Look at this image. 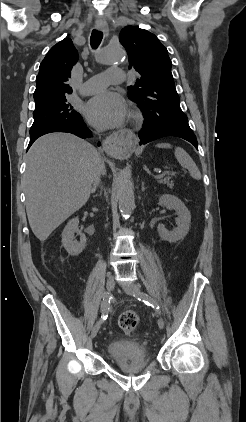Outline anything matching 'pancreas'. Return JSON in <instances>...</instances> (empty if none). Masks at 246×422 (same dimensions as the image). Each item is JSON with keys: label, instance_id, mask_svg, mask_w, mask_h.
I'll list each match as a JSON object with an SVG mask.
<instances>
[{"label": "pancreas", "instance_id": "obj_1", "mask_svg": "<svg viewBox=\"0 0 246 422\" xmlns=\"http://www.w3.org/2000/svg\"><path fill=\"white\" fill-rule=\"evenodd\" d=\"M156 179H160V180L158 181L159 183H162V184H166V183H167V184H168V185H170V186H172V185H173L172 183H170V182H169L170 177H167V178H162V177H161V178H156Z\"/></svg>", "mask_w": 246, "mask_h": 422}]
</instances>
